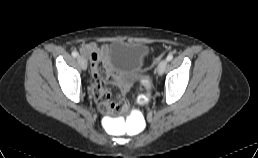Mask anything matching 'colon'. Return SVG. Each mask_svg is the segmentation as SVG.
I'll return each instance as SVG.
<instances>
[{
	"label": "colon",
	"mask_w": 258,
	"mask_h": 158,
	"mask_svg": "<svg viewBox=\"0 0 258 158\" xmlns=\"http://www.w3.org/2000/svg\"><path fill=\"white\" fill-rule=\"evenodd\" d=\"M142 86L143 88L146 90L148 89V83L147 81H143L142 82ZM148 101V95L147 93H142L138 96V102L140 104H145L147 103ZM127 107V104L125 101L119 99L117 101H111L109 100L107 103H105L103 106H102V110L106 113H110V112H113L115 111L116 109H125Z\"/></svg>",
	"instance_id": "5ec220e1"
}]
</instances>
